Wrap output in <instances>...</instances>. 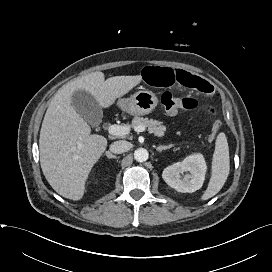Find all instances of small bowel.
Masks as SVG:
<instances>
[{
	"label": "small bowel",
	"instance_id": "1",
	"mask_svg": "<svg viewBox=\"0 0 272 272\" xmlns=\"http://www.w3.org/2000/svg\"><path fill=\"white\" fill-rule=\"evenodd\" d=\"M143 80L154 87L180 86L202 93H214L206 80L182 69L148 66L142 71Z\"/></svg>",
	"mask_w": 272,
	"mask_h": 272
}]
</instances>
